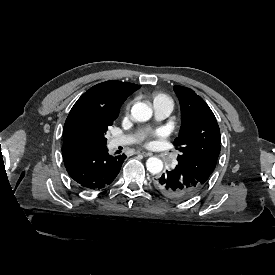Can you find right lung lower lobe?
I'll return each instance as SVG.
<instances>
[{
  "label": "right lung lower lobe",
  "mask_w": 275,
  "mask_h": 275,
  "mask_svg": "<svg viewBox=\"0 0 275 275\" xmlns=\"http://www.w3.org/2000/svg\"><path fill=\"white\" fill-rule=\"evenodd\" d=\"M62 154L70 177L79 186L90 190L111 184L126 159L125 154L109 155L106 146L85 143L64 144Z\"/></svg>",
  "instance_id": "98d812e1"
}]
</instances>
